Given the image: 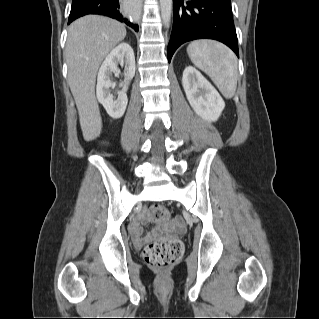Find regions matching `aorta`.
Wrapping results in <instances>:
<instances>
[{"label":"aorta","instance_id":"1","mask_svg":"<svg viewBox=\"0 0 319 319\" xmlns=\"http://www.w3.org/2000/svg\"><path fill=\"white\" fill-rule=\"evenodd\" d=\"M173 0H160L161 18L163 24L168 27L171 21Z\"/></svg>","mask_w":319,"mask_h":319}]
</instances>
